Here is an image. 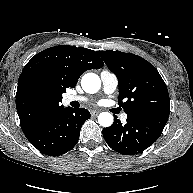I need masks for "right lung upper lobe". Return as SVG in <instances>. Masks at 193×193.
I'll list each match as a JSON object with an SVG mask.
<instances>
[{"label":"right lung upper lobe","mask_w":193,"mask_h":193,"mask_svg":"<svg viewBox=\"0 0 193 193\" xmlns=\"http://www.w3.org/2000/svg\"><path fill=\"white\" fill-rule=\"evenodd\" d=\"M102 66L95 51L82 47L55 46L36 54L23 68L16 93L24 134L64 109L62 94L75 87L83 72Z\"/></svg>","instance_id":"obj_1"}]
</instances>
